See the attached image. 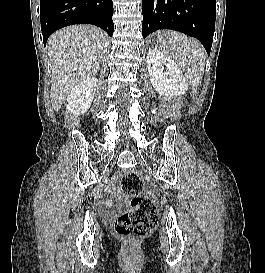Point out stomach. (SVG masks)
Masks as SVG:
<instances>
[{"label":"stomach","mask_w":265,"mask_h":273,"mask_svg":"<svg viewBox=\"0 0 265 273\" xmlns=\"http://www.w3.org/2000/svg\"><path fill=\"white\" fill-rule=\"evenodd\" d=\"M146 45H155L156 49H162L163 45H169L168 35H155V40H146Z\"/></svg>","instance_id":"obj_1"}]
</instances>
